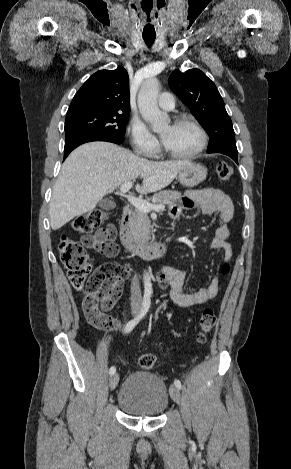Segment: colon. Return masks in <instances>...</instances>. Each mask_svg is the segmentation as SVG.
Returning a JSON list of instances; mask_svg holds the SVG:
<instances>
[{"mask_svg":"<svg viewBox=\"0 0 291 469\" xmlns=\"http://www.w3.org/2000/svg\"><path fill=\"white\" fill-rule=\"evenodd\" d=\"M216 173L221 181H228L233 176V168L226 162H219ZM108 218L103 210H93L79 215L73 220V229L85 236L75 240L64 236L59 244L61 261L67 270L72 286L84 291L83 312L87 321L94 327L109 330L113 326L112 319L106 315L116 302V295L120 291L123 281L129 277L130 268L117 263H106L91 273L87 248L93 242L92 231L97 229ZM111 255L118 253V246L111 241L107 247ZM230 265L225 263L222 272L227 274ZM216 315L211 308H204L199 319V330L196 336L198 344L207 340V335L216 325ZM155 356L143 354L139 358L141 368L148 370L153 367Z\"/></svg>","mask_w":291,"mask_h":469,"instance_id":"obj_1","label":"colon"}]
</instances>
